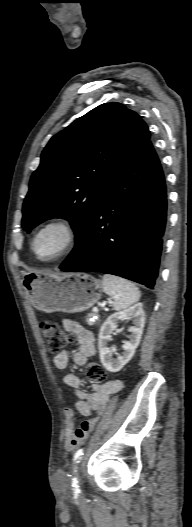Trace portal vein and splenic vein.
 <instances>
[{"label": "portal vein and splenic vein", "mask_w": 192, "mask_h": 527, "mask_svg": "<svg viewBox=\"0 0 192 527\" xmlns=\"http://www.w3.org/2000/svg\"><path fill=\"white\" fill-rule=\"evenodd\" d=\"M93 312H98V308H93Z\"/></svg>", "instance_id": "obj_1"}]
</instances>
